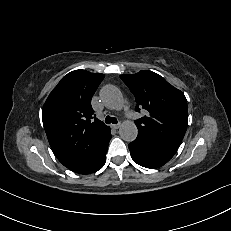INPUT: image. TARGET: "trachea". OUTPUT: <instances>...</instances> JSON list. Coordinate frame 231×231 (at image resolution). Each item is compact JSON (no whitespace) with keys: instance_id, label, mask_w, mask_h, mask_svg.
Listing matches in <instances>:
<instances>
[{"instance_id":"obj_1","label":"trachea","mask_w":231,"mask_h":231,"mask_svg":"<svg viewBox=\"0 0 231 231\" xmlns=\"http://www.w3.org/2000/svg\"><path fill=\"white\" fill-rule=\"evenodd\" d=\"M117 119L115 117H111V116H106L105 118V123L109 124V123H113V124H117Z\"/></svg>"}]
</instances>
